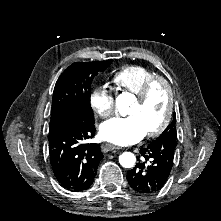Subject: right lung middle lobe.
I'll return each mask as SVG.
<instances>
[{
    "label": "right lung middle lobe",
    "mask_w": 221,
    "mask_h": 221,
    "mask_svg": "<svg viewBox=\"0 0 221 221\" xmlns=\"http://www.w3.org/2000/svg\"><path fill=\"white\" fill-rule=\"evenodd\" d=\"M111 63L112 60L75 62L70 65L55 84L50 123L69 115L93 121L90 86L94 76L104 71Z\"/></svg>",
    "instance_id": "right-lung-middle-lobe-1"
}]
</instances>
